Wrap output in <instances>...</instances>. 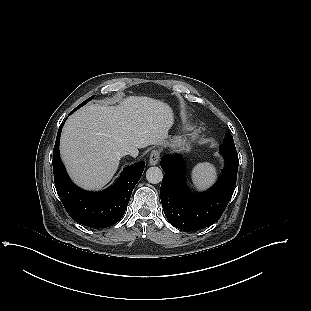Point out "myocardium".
Returning a JSON list of instances; mask_svg holds the SVG:
<instances>
[{
    "label": "myocardium",
    "mask_w": 311,
    "mask_h": 311,
    "mask_svg": "<svg viewBox=\"0 0 311 311\" xmlns=\"http://www.w3.org/2000/svg\"><path fill=\"white\" fill-rule=\"evenodd\" d=\"M188 142H189V137L188 136L183 137L182 144L186 145Z\"/></svg>",
    "instance_id": "myocardium-1"
}]
</instances>
